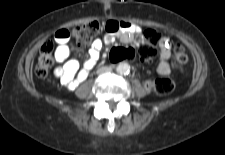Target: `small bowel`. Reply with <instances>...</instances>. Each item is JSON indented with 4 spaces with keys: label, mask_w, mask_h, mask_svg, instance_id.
Here are the masks:
<instances>
[{
    "label": "small bowel",
    "mask_w": 225,
    "mask_h": 155,
    "mask_svg": "<svg viewBox=\"0 0 225 155\" xmlns=\"http://www.w3.org/2000/svg\"><path fill=\"white\" fill-rule=\"evenodd\" d=\"M104 28L106 36L104 39L96 38L90 47L89 58L85 61L82 68L77 60L69 59L70 49L68 44L72 41V32L65 27L58 28L53 35L54 41L59 45L55 51L56 60L62 64L57 67L54 74L60 82L69 89H75L81 82L87 79L91 69L97 62L104 43L112 42L120 36L126 43L140 32V28L126 21L109 20L105 22ZM172 43L169 38L162 37L159 40V63L157 73L167 76L171 72L169 59L171 57Z\"/></svg>",
    "instance_id": "1"
}]
</instances>
